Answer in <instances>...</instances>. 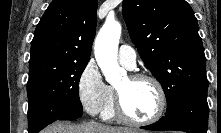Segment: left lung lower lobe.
<instances>
[{"label": "left lung lower lobe", "instance_id": "0a47b994", "mask_svg": "<svg viewBox=\"0 0 221 133\" xmlns=\"http://www.w3.org/2000/svg\"><path fill=\"white\" fill-rule=\"evenodd\" d=\"M208 115L207 92H196L182 99L156 123L141 128L154 131L176 130L187 133H206Z\"/></svg>", "mask_w": 221, "mask_h": 133}]
</instances>
